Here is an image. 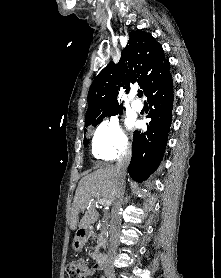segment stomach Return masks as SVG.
I'll return each instance as SVG.
<instances>
[{
	"label": "stomach",
	"instance_id": "stomach-1",
	"mask_svg": "<svg viewBox=\"0 0 221 278\" xmlns=\"http://www.w3.org/2000/svg\"><path fill=\"white\" fill-rule=\"evenodd\" d=\"M87 241V237L86 236H82V235H76L73 243H72V247L76 252H79L82 250L83 246L85 245Z\"/></svg>",
	"mask_w": 221,
	"mask_h": 278
}]
</instances>
